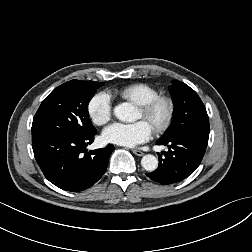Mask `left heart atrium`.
<instances>
[{"instance_id": "obj_1", "label": "left heart atrium", "mask_w": 252, "mask_h": 252, "mask_svg": "<svg viewBox=\"0 0 252 252\" xmlns=\"http://www.w3.org/2000/svg\"><path fill=\"white\" fill-rule=\"evenodd\" d=\"M153 133L152 126L147 121L136 123H114L103 132V139L107 143L133 147L148 141Z\"/></svg>"}]
</instances>
